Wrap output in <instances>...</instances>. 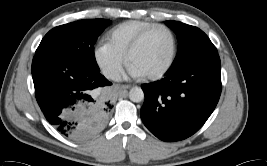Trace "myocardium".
<instances>
[{
	"label": "myocardium",
	"instance_id": "obj_1",
	"mask_svg": "<svg viewBox=\"0 0 267 166\" xmlns=\"http://www.w3.org/2000/svg\"><path fill=\"white\" fill-rule=\"evenodd\" d=\"M165 32L169 35L170 39H171V51H170V55L169 58L167 60V62L156 72L151 73L148 75V77H157L160 76L162 74H164L171 66V64L173 63L175 54H176V48H177V42H176V37L175 34L166 26H156L153 27L147 31H145L144 33H142L135 41L134 43L130 46L129 50H128V54H127V58L129 61H131L134 53L141 47V45L144 43V41L153 33L156 32Z\"/></svg>",
	"mask_w": 267,
	"mask_h": 166
}]
</instances>
